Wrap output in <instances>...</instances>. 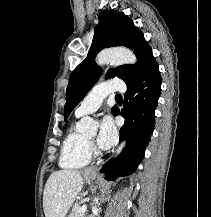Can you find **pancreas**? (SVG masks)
Returning <instances> with one entry per match:
<instances>
[{
    "label": "pancreas",
    "instance_id": "obj_1",
    "mask_svg": "<svg viewBox=\"0 0 211 217\" xmlns=\"http://www.w3.org/2000/svg\"><path fill=\"white\" fill-rule=\"evenodd\" d=\"M68 217H84V213L81 212L80 203H76Z\"/></svg>",
    "mask_w": 211,
    "mask_h": 217
}]
</instances>
